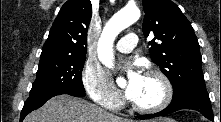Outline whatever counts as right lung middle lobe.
Segmentation results:
<instances>
[{"mask_svg":"<svg viewBox=\"0 0 221 122\" xmlns=\"http://www.w3.org/2000/svg\"><path fill=\"white\" fill-rule=\"evenodd\" d=\"M85 59L86 57H69L40 60L37 77L30 94L60 88L85 92L81 77Z\"/></svg>","mask_w":221,"mask_h":122,"instance_id":"1","label":"right lung middle lobe"}]
</instances>
